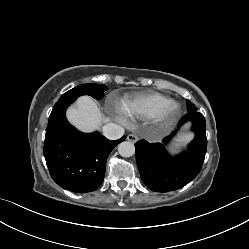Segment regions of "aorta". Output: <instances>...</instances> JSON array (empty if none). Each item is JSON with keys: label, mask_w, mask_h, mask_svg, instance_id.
Wrapping results in <instances>:
<instances>
[{"label": "aorta", "mask_w": 249, "mask_h": 249, "mask_svg": "<svg viewBox=\"0 0 249 249\" xmlns=\"http://www.w3.org/2000/svg\"><path fill=\"white\" fill-rule=\"evenodd\" d=\"M118 152L123 157H130L135 153L134 144L129 141L121 142L118 145Z\"/></svg>", "instance_id": "aorta-1"}]
</instances>
